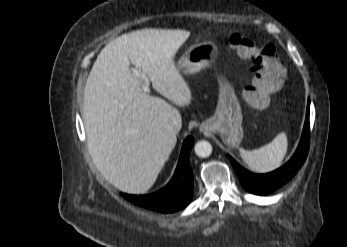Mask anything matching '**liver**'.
Here are the masks:
<instances>
[{
  "label": "liver",
  "instance_id": "6515ba94",
  "mask_svg": "<svg viewBox=\"0 0 347 247\" xmlns=\"http://www.w3.org/2000/svg\"><path fill=\"white\" fill-rule=\"evenodd\" d=\"M184 30L143 29L124 34L99 53L84 88L83 120L91 158L112 185L143 194L155 183L182 127L179 111L145 93L130 63L177 106H189L191 89L174 64L189 37Z\"/></svg>",
  "mask_w": 347,
  "mask_h": 247
}]
</instances>
